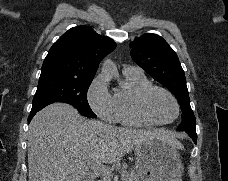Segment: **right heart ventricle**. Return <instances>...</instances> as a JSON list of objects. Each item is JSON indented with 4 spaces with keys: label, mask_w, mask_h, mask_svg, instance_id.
<instances>
[{
    "label": "right heart ventricle",
    "mask_w": 228,
    "mask_h": 181,
    "mask_svg": "<svg viewBox=\"0 0 228 181\" xmlns=\"http://www.w3.org/2000/svg\"><path fill=\"white\" fill-rule=\"evenodd\" d=\"M113 68L115 73H110L109 80L117 81L113 95L116 120L128 125H145L147 122L139 117L135 104L139 93L151 86L150 81L143 74L132 75L128 70Z\"/></svg>",
    "instance_id": "obj_1"
}]
</instances>
